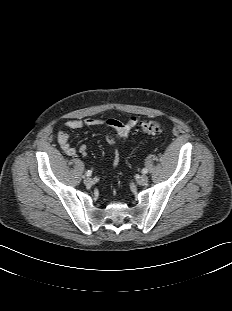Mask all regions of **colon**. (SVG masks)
I'll return each mask as SVG.
<instances>
[{
	"label": "colon",
	"instance_id": "colon-1",
	"mask_svg": "<svg viewBox=\"0 0 232 311\" xmlns=\"http://www.w3.org/2000/svg\"><path fill=\"white\" fill-rule=\"evenodd\" d=\"M136 129L146 134H157L162 132L164 127L157 120H148L137 124Z\"/></svg>",
	"mask_w": 232,
	"mask_h": 311
}]
</instances>
